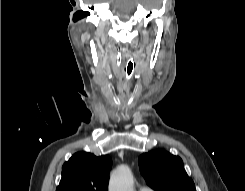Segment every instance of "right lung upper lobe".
<instances>
[{
    "label": "right lung upper lobe",
    "mask_w": 245,
    "mask_h": 191,
    "mask_svg": "<svg viewBox=\"0 0 245 191\" xmlns=\"http://www.w3.org/2000/svg\"><path fill=\"white\" fill-rule=\"evenodd\" d=\"M111 165L107 155L77 152L63 165L56 191H107Z\"/></svg>",
    "instance_id": "1"
}]
</instances>
